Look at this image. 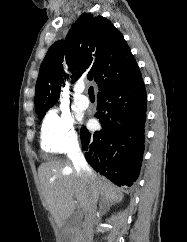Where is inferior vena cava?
Wrapping results in <instances>:
<instances>
[{"label": "inferior vena cava", "mask_w": 187, "mask_h": 242, "mask_svg": "<svg viewBox=\"0 0 187 242\" xmlns=\"http://www.w3.org/2000/svg\"><path fill=\"white\" fill-rule=\"evenodd\" d=\"M68 157L72 161L78 175L90 182V200L83 223L82 242H93V224L95 222L96 204L99 197L97 186L93 180V171L88 166L78 143L71 146L68 151Z\"/></svg>", "instance_id": "1"}]
</instances>
